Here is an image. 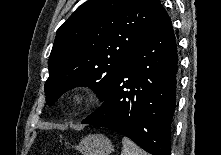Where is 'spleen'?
<instances>
[{
  "mask_svg": "<svg viewBox=\"0 0 221 155\" xmlns=\"http://www.w3.org/2000/svg\"><path fill=\"white\" fill-rule=\"evenodd\" d=\"M123 150L121 155H146L134 142L124 137L122 139Z\"/></svg>",
  "mask_w": 221,
  "mask_h": 155,
  "instance_id": "spleen-1",
  "label": "spleen"
}]
</instances>
